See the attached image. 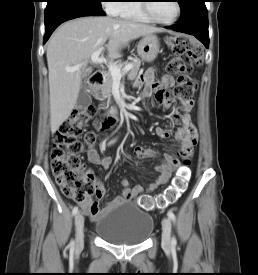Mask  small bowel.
Wrapping results in <instances>:
<instances>
[{"label": "small bowel", "instance_id": "1", "mask_svg": "<svg viewBox=\"0 0 258 275\" xmlns=\"http://www.w3.org/2000/svg\"><path fill=\"white\" fill-rule=\"evenodd\" d=\"M156 70L154 68L148 69L143 76V91L142 96H149L153 90L157 91V99L163 107H169L171 102L165 94V90L172 87L174 79L170 75H164L161 81L156 78ZM193 106V99L183 102L181 106L172 115V120H180L181 126L178 127L175 137L180 142V148L176 155L164 154L159 163L156 165L155 170L158 172V177L151 182L145 189L141 185L129 186L127 179H123L121 184L123 186V193L121 196L115 197L113 200L106 203L103 209H100L97 202L91 198L86 201L79 202L82 210L89 215L92 219L96 220L101 218L106 212L121 205L124 202L133 201L137 196L144 191L152 192L160 186L166 184L174 170L180 165V160L189 157L197 143V131L191 121L190 110ZM107 130V129H106ZM156 133L160 137H168V132L164 127H158ZM134 155L137 159H144L156 156V152L150 148L137 145L134 148ZM88 160L96 165L102 166L104 169H109L112 163L110 157H100L95 149V143L87 145ZM105 188L100 180H95V195L101 199L105 195Z\"/></svg>", "mask_w": 258, "mask_h": 275}]
</instances>
